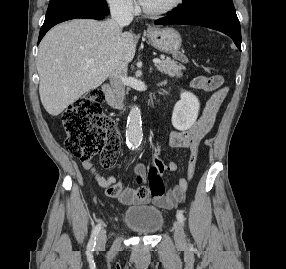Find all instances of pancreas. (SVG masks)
Masks as SVG:
<instances>
[{
  "label": "pancreas",
  "mask_w": 286,
  "mask_h": 269,
  "mask_svg": "<svg viewBox=\"0 0 286 269\" xmlns=\"http://www.w3.org/2000/svg\"><path fill=\"white\" fill-rule=\"evenodd\" d=\"M157 68L169 75L170 77H182V70L185 67L181 64H178L176 61L171 60L170 58L163 59L160 64L157 65Z\"/></svg>",
  "instance_id": "pancreas-1"
}]
</instances>
